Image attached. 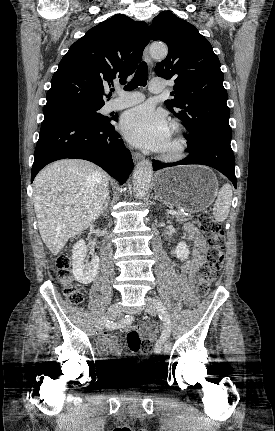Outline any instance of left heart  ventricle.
Here are the masks:
<instances>
[{
  "label": "left heart ventricle",
  "instance_id": "1",
  "mask_svg": "<svg viewBox=\"0 0 275 431\" xmlns=\"http://www.w3.org/2000/svg\"><path fill=\"white\" fill-rule=\"evenodd\" d=\"M175 135L172 129H169V136L163 150H170L174 146Z\"/></svg>",
  "mask_w": 275,
  "mask_h": 431
}]
</instances>
